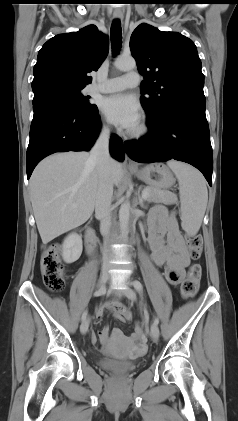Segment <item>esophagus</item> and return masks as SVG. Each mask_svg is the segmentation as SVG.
Returning a JSON list of instances; mask_svg holds the SVG:
<instances>
[{
    "label": "esophagus",
    "instance_id": "1",
    "mask_svg": "<svg viewBox=\"0 0 238 421\" xmlns=\"http://www.w3.org/2000/svg\"><path fill=\"white\" fill-rule=\"evenodd\" d=\"M113 17L115 18V19H119V20H122L123 19V14H122V12H120V11H115L114 13H113ZM124 163H125V166H127V167H129V168H134V167H136V165H135V163H134V161L126 154L125 155V161H124Z\"/></svg>",
    "mask_w": 238,
    "mask_h": 421
}]
</instances>
